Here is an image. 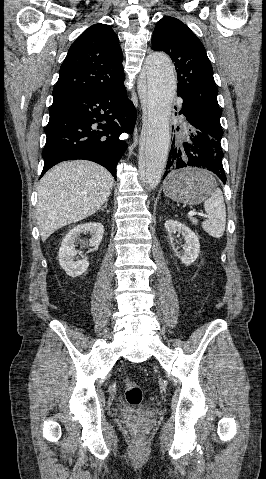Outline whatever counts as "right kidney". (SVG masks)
Wrapping results in <instances>:
<instances>
[{
	"label": "right kidney",
	"instance_id": "ca27d5eb",
	"mask_svg": "<svg viewBox=\"0 0 266 479\" xmlns=\"http://www.w3.org/2000/svg\"><path fill=\"white\" fill-rule=\"evenodd\" d=\"M83 232H89L91 239L89 245L91 247H98L102 241L104 228L99 222H89L80 224L72 228L61 243L59 249V264L71 277L82 275L89 266L87 257L82 256V259H77V251L75 250V242L78 236Z\"/></svg>",
	"mask_w": 266,
	"mask_h": 479
}]
</instances>
